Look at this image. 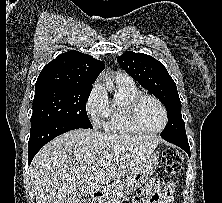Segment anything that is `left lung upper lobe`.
Wrapping results in <instances>:
<instances>
[{"instance_id": "obj_1", "label": "left lung upper lobe", "mask_w": 222, "mask_h": 203, "mask_svg": "<svg viewBox=\"0 0 222 203\" xmlns=\"http://www.w3.org/2000/svg\"><path fill=\"white\" fill-rule=\"evenodd\" d=\"M117 61L123 70L166 107L168 124L160 136L187 138L177 87L164 65L149 55L130 51L119 56Z\"/></svg>"}]
</instances>
